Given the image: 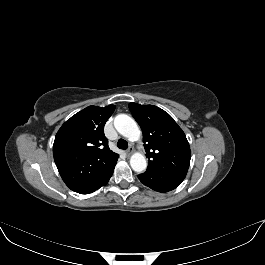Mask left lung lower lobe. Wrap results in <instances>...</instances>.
<instances>
[{"instance_id":"0a47b994","label":"left lung lower lobe","mask_w":265,"mask_h":265,"mask_svg":"<svg viewBox=\"0 0 265 265\" xmlns=\"http://www.w3.org/2000/svg\"><path fill=\"white\" fill-rule=\"evenodd\" d=\"M186 177V174L159 173L146 171L138 175L146 186L158 192H168L175 189Z\"/></svg>"}]
</instances>
